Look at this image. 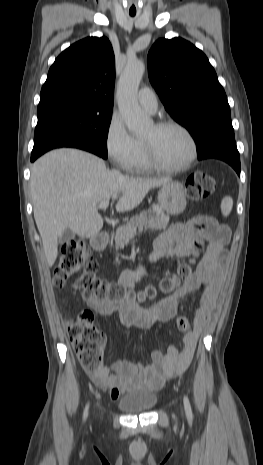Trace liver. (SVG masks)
Returning <instances> with one entry per match:
<instances>
[{"instance_id":"1","label":"liver","mask_w":263,"mask_h":465,"mask_svg":"<svg viewBox=\"0 0 263 465\" xmlns=\"http://www.w3.org/2000/svg\"><path fill=\"white\" fill-rule=\"evenodd\" d=\"M170 182L108 170L102 159L77 149H57L40 157L32 165L30 187L48 266L57 258L58 239L65 229L83 238L100 232L103 218L98 203L112 198L118 200V212L130 211L151 189Z\"/></svg>"}]
</instances>
